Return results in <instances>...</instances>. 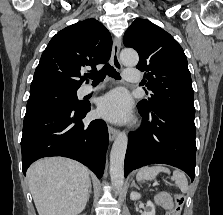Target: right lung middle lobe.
<instances>
[{
  "instance_id": "1",
  "label": "right lung middle lobe",
  "mask_w": 223,
  "mask_h": 215,
  "mask_svg": "<svg viewBox=\"0 0 223 215\" xmlns=\"http://www.w3.org/2000/svg\"><path fill=\"white\" fill-rule=\"evenodd\" d=\"M76 91H42L30 93L26 115L62 107H78Z\"/></svg>"
}]
</instances>
